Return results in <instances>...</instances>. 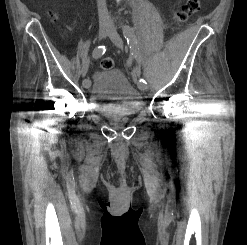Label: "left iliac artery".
Returning a JSON list of instances; mask_svg holds the SVG:
<instances>
[{
    "label": "left iliac artery",
    "instance_id": "44dca946",
    "mask_svg": "<svg viewBox=\"0 0 247 245\" xmlns=\"http://www.w3.org/2000/svg\"><path fill=\"white\" fill-rule=\"evenodd\" d=\"M123 34L127 40L129 48L131 50V58H135L137 63H139V68L141 66V56L139 52V45H137L138 38L135 37L134 30L129 26L123 27ZM139 83L143 85H147V82L144 80L143 77L139 76Z\"/></svg>",
    "mask_w": 247,
    "mask_h": 245
}]
</instances>
